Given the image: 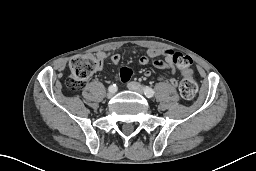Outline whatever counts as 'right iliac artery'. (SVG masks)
Segmentation results:
<instances>
[{"label":"right iliac artery","mask_w":256,"mask_h":171,"mask_svg":"<svg viewBox=\"0 0 256 171\" xmlns=\"http://www.w3.org/2000/svg\"><path fill=\"white\" fill-rule=\"evenodd\" d=\"M109 90H113V91H115V92H116V90H117L116 85H115V84H113V85L109 86Z\"/></svg>","instance_id":"82829eb1"}]
</instances>
